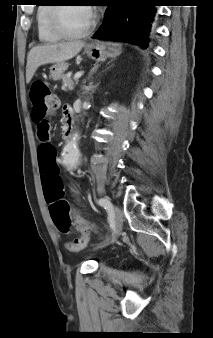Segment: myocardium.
Listing matches in <instances>:
<instances>
[{
	"label": "myocardium",
	"instance_id": "myocardium-1",
	"mask_svg": "<svg viewBox=\"0 0 213 338\" xmlns=\"http://www.w3.org/2000/svg\"><path fill=\"white\" fill-rule=\"evenodd\" d=\"M68 6L70 5H55V7L51 8L50 14H49V24H48L50 31L54 35L62 39H79V38L87 36L89 33H91L94 30L96 26V21L94 18L91 20L90 24L84 30L80 32H76V33L68 32L62 27L61 22H60L59 13L62 8L68 7Z\"/></svg>",
	"mask_w": 213,
	"mask_h": 338
}]
</instances>
